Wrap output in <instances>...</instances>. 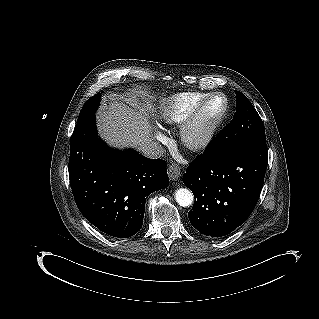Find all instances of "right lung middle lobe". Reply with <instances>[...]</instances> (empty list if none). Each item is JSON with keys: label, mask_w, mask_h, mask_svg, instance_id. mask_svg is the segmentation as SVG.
Here are the masks:
<instances>
[{"label": "right lung middle lobe", "mask_w": 319, "mask_h": 319, "mask_svg": "<svg viewBox=\"0 0 319 319\" xmlns=\"http://www.w3.org/2000/svg\"><path fill=\"white\" fill-rule=\"evenodd\" d=\"M100 97H101V94L97 93L96 95L92 96L85 102L79 114L77 123L85 120L86 118H88L89 116L95 113V111L97 110V107L99 106Z\"/></svg>", "instance_id": "right-lung-middle-lobe-1"}]
</instances>
